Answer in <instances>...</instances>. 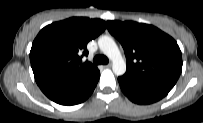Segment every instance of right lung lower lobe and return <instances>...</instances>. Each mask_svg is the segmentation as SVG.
<instances>
[{
	"label": "right lung lower lobe",
	"mask_w": 203,
	"mask_h": 123,
	"mask_svg": "<svg viewBox=\"0 0 203 123\" xmlns=\"http://www.w3.org/2000/svg\"><path fill=\"white\" fill-rule=\"evenodd\" d=\"M99 77L97 70L88 76L54 79L38 86L52 101L70 106L84 102L94 91Z\"/></svg>",
	"instance_id": "1"
}]
</instances>
